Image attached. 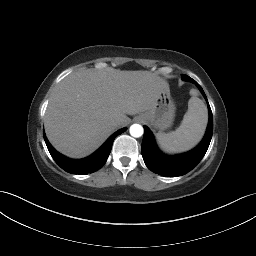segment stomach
Here are the masks:
<instances>
[{"label": "stomach", "mask_w": 256, "mask_h": 256, "mask_svg": "<svg viewBox=\"0 0 256 256\" xmlns=\"http://www.w3.org/2000/svg\"><path fill=\"white\" fill-rule=\"evenodd\" d=\"M175 110V103L170 95L169 86L167 85V87L163 88L158 93L150 109L139 114L137 118L163 131L172 125Z\"/></svg>", "instance_id": "1"}]
</instances>
